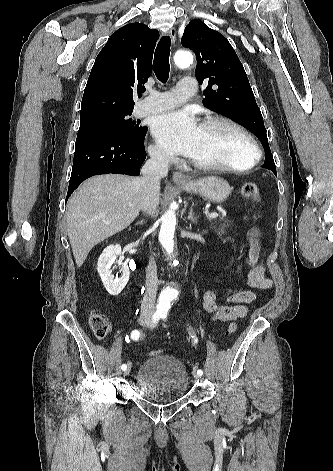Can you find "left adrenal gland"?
I'll return each mask as SVG.
<instances>
[{
	"label": "left adrenal gland",
	"mask_w": 333,
	"mask_h": 471,
	"mask_svg": "<svg viewBox=\"0 0 333 471\" xmlns=\"http://www.w3.org/2000/svg\"><path fill=\"white\" fill-rule=\"evenodd\" d=\"M193 206H194V204H192V206L190 208L189 215H188V220H190L192 223L196 224L199 216L194 215Z\"/></svg>",
	"instance_id": "obj_1"
}]
</instances>
